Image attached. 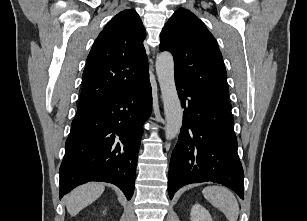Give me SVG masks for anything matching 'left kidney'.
<instances>
[{
  "label": "left kidney",
  "mask_w": 307,
  "mask_h": 221,
  "mask_svg": "<svg viewBox=\"0 0 307 221\" xmlns=\"http://www.w3.org/2000/svg\"><path fill=\"white\" fill-rule=\"evenodd\" d=\"M191 221H213L210 213L200 204H195L191 209Z\"/></svg>",
  "instance_id": "left-kidney-1"
}]
</instances>
